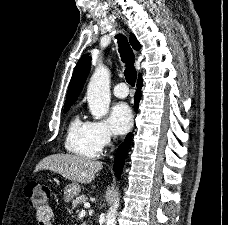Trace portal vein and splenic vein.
<instances>
[{"label":"portal vein and splenic vein","mask_w":228,"mask_h":225,"mask_svg":"<svg viewBox=\"0 0 228 225\" xmlns=\"http://www.w3.org/2000/svg\"><path fill=\"white\" fill-rule=\"evenodd\" d=\"M90 207V203H84V209H90ZM81 213H84V211H81Z\"/></svg>","instance_id":"obj_1"}]
</instances>
